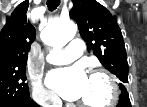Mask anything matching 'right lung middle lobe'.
I'll return each mask as SVG.
<instances>
[{"mask_svg": "<svg viewBox=\"0 0 147 107\" xmlns=\"http://www.w3.org/2000/svg\"><path fill=\"white\" fill-rule=\"evenodd\" d=\"M28 98L26 67L0 73V107H8L14 102Z\"/></svg>", "mask_w": 147, "mask_h": 107, "instance_id": "right-lung-middle-lobe-1", "label": "right lung middle lobe"}]
</instances>
